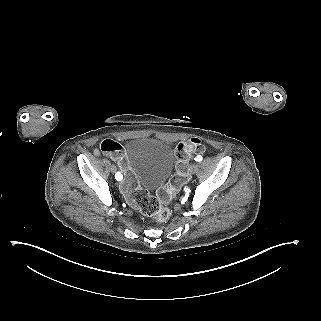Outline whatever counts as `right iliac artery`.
<instances>
[{
  "mask_svg": "<svg viewBox=\"0 0 321 321\" xmlns=\"http://www.w3.org/2000/svg\"><path fill=\"white\" fill-rule=\"evenodd\" d=\"M115 178L116 180L120 181L122 179V175L119 172H117Z\"/></svg>",
  "mask_w": 321,
  "mask_h": 321,
  "instance_id": "right-iliac-artery-1",
  "label": "right iliac artery"
}]
</instances>
